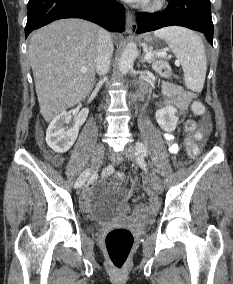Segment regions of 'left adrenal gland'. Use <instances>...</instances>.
<instances>
[{"instance_id":"obj_1","label":"left adrenal gland","mask_w":233,"mask_h":284,"mask_svg":"<svg viewBox=\"0 0 233 284\" xmlns=\"http://www.w3.org/2000/svg\"><path fill=\"white\" fill-rule=\"evenodd\" d=\"M141 62H142V64H144V63H145V60H144V59H142V60H141Z\"/></svg>"}]
</instances>
